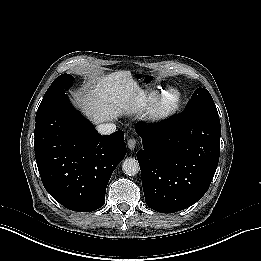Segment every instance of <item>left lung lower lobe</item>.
I'll return each instance as SVG.
<instances>
[{
    "label": "left lung lower lobe",
    "instance_id": "obj_1",
    "mask_svg": "<svg viewBox=\"0 0 261 261\" xmlns=\"http://www.w3.org/2000/svg\"><path fill=\"white\" fill-rule=\"evenodd\" d=\"M143 149L137 152L146 204L174 213L196 203L208 190L220 154L218 113L191 110L157 130L138 123Z\"/></svg>",
    "mask_w": 261,
    "mask_h": 261
}]
</instances>
